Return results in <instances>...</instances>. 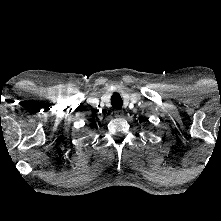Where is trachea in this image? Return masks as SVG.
Listing matches in <instances>:
<instances>
[{
  "instance_id": "3493384b",
  "label": "trachea",
  "mask_w": 221,
  "mask_h": 221,
  "mask_svg": "<svg viewBox=\"0 0 221 221\" xmlns=\"http://www.w3.org/2000/svg\"><path fill=\"white\" fill-rule=\"evenodd\" d=\"M111 104H112V107L115 108V109H121L122 108L123 101H122V98H121L120 94L114 93L111 96Z\"/></svg>"
}]
</instances>
